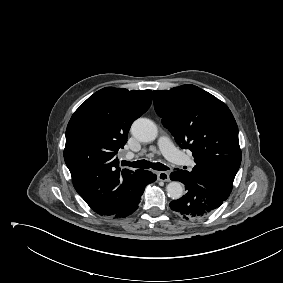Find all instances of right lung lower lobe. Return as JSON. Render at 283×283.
Here are the masks:
<instances>
[{"mask_svg": "<svg viewBox=\"0 0 283 283\" xmlns=\"http://www.w3.org/2000/svg\"><path fill=\"white\" fill-rule=\"evenodd\" d=\"M156 180V175L153 174L150 171L147 170H141L139 174V191L138 193L129 201L127 202L123 207H121L118 211L110 214L115 217H127L128 215H131L134 211H136L138 207V203L140 202V197L143 194V191L145 189V186Z\"/></svg>", "mask_w": 283, "mask_h": 283, "instance_id": "obj_1", "label": "right lung lower lobe"}]
</instances>
